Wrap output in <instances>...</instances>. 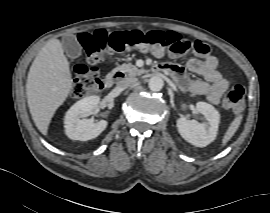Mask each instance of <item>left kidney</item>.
Returning a JSON list of instances; mask_svg holds the SVG:
<instances>
[{
	"mask_svg": "<svg viewBox=\"0 0 270 213\" xmlns=\"http://www.w3.org/2000/svg\"><path fill=\"white\" fill-rule=\"evenodd\" d=\"M197 110L204 115L207 122L179 118L177 129L184 140L197 147H205L213 142L217 136L220 122L219 112L206 102H197Z\"/></svg>",
	"mask_w": 270,
	"mask_h": 213,
	"instance_id": "5707ae66",
	"label": "left kidney"
}]
</instances>
